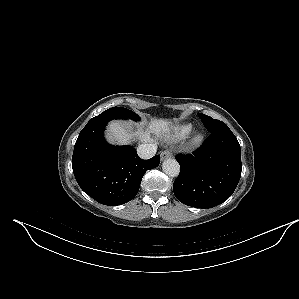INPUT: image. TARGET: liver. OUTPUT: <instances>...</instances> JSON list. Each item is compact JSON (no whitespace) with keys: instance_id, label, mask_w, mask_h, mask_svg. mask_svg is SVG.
<instances>
[{"instance_id":"6515ba94","label":"liver","mask_w":299,"mask_h":299,"mask_svg":"<svg viewBox=\"0 0 299 299\" xmlns=\"http://www.w3.org/2000/svg\"><path fill=\"white\" fill-rule=\"evenodd\" d=\"M168 130L169 122L163 119H154L150 122L145 131L138 129L136 132H134L133 128L129 125L120 123L118 121H112L108 125L107 138L109 141L119 145L129 144L131 139H133L135 136L138 137L141 142H150L152 141L150 136L151 133L155 134L157 137H160Z\"/></svg>"}]
</instances>
